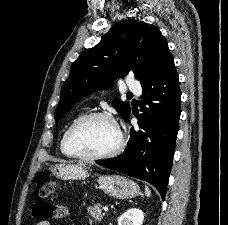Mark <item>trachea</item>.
<instances>
[{"instance_id":"3493384b","label":"trachea","mask_w":228,"mask_h":225,"mask_svg":"<svg viewBox=\"0 0 228 225\" xmlns=\"http://www.w3.org/2000/svg\"><path fill=\"white\" fill-rule=\"evenodd\" d=\"M127 98H133V94H131V92H128Z\"/></svg>"}]
</instances>
